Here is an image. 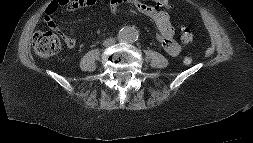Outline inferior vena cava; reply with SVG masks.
<instances>
[{"label":"inferior vena cava","mask_w":253,"mask_h":143,"mask_svg":"<svg viewBox=\"0 0 253 143\" xmlns=\"http://www.w3.org/2000/svg\"><path fill=\"white\" fill-rule=\"evenodd\" d=\"M115 43V39L111 38V39H106L104 42H103V45L104 46H110L112 44Z\"/></svg>","instance_id":"obj_1"}]
</instances>
